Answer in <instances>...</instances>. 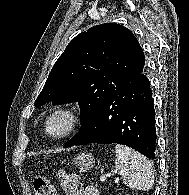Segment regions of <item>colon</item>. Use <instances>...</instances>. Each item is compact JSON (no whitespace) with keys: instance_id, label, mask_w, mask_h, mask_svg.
I'll list each match as a JSON object with an SVG mask.
<instances>
[{"instance_id":"5ec220e1","label":"colon","mask_w":189,"mask_h":195,"mask_svg":"<svg viewBox=\"0 0 189 195\" xmlns=\"http://www.w3.org/2000/svg\"><path fill=\"white\" fill-rule=\"evenodd\" d=\"M62 187L66 195H84V189L76 176L62 173ZM36 195H57L55 187L44 177L37 176L33 181Z\"/></svg>"}]
</instances>
